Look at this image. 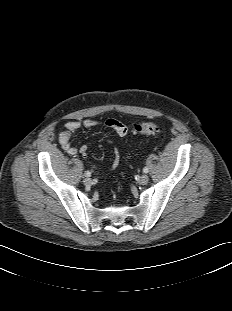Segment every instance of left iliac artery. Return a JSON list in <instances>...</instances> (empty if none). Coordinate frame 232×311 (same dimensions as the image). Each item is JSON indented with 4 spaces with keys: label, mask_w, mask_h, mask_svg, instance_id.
I'll list each match as a JSON object with an SVG mask.
<instances>
[{
    "label": "left iliac artery",
    "mask_w": 232,
    "mask_h": 311,
    "mask_svg": "<svg viewBox=\"0 0 232 311\" xmlns=\"http://www.w3.org/2000/svg\"><path fill=\"white\" fill-rule=\"evenodd\" d=\"M148 171H149V169H148L147 167H144V168H143V172H144V173H148Z\"/></svg>",
    "instance_id": "obj_1"
}]
</instances>
